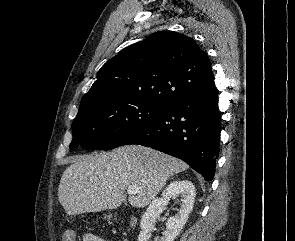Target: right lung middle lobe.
Segmentation results:
<instances>
[{
    "mask_svg": "<svg viewBox=\"0 0 295 241\" xmlns=\"http://www.w3.org/2000/svg\"><path fill=\"white\" fill-rule=\"evenodd\" d=\"M162 106L123 98L114 91H105L82 98L72 124L70 148L110 150L120 145L131 132L154 119Z\"/></svg>",
    "mask_w": 295,
    "mask_h": 241,
    "instance_id": "dd1d6c3e",
    "label": "right lung middle lobe"
}]
</instances>
